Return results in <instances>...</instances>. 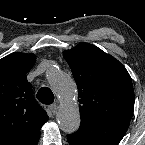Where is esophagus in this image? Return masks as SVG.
Returning a JSON list of instances; mask_svg holds the SVG:
<instances>
[{
    "label": "esophagus",
    "instance_id": "1",
    "mask_svg": "<svg viewBox=\"0 0 145 145\" xmlns=\"http://www.w3.org/2000/svg\"><path fill=\"white\" fill-rule=\"evenodd\" d=\"M49 110L51 111V113H52L53 115H55V114L57 113V110H58L57 105H56V104L50 105V106H49Z\"/></svg>",
    "mask_w": 145,
    "mask_h": 145
}]
</instances>
